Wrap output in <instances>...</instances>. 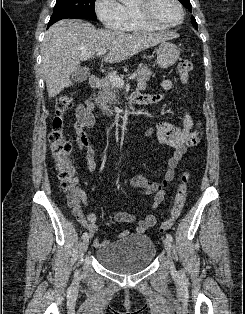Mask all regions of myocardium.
<instances>
[{
    "instance_id": "obj_1",
    "label": "myocardium",
    "mask_w": 245,
    "mask_h": 314,
    "mask_svg": "<svg viewBox=\"0 0 245 314\" xmlns=\"http://www.w3.org/2000/svg\"><path fill=\"white\" fill-rule=\"evenodd\" d=\"M155 0H137V3L134 5V10L137 15V17L144 23L152 25L156 28L160 29H168V28H174L181 23H183L185 19V10L180 2V0H174V2L177 4L180 12H181V20L177 23L169 24V23H163L161 21H158L155 19L152 15V8Z\"/></svg>"
}]
</instances>
